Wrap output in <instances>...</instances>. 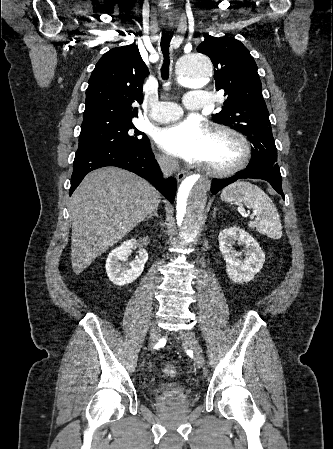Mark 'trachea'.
Listing matches in <instances>:
<instances>
[{"label":"trachea","instance_id":"1","mask_svg":"<svg viewBox=\"0 0 333 449\" xmlns=\"http://www.w3.org/2000/svg\"><path fill=\"white\" fill-rule=\"evenodd\" d=\"M173 37V33L170 31H166L162 33V37H161V51L163 53L164 56V61H163V66L161 68V76L163 79H168L169 77V47H170V42L172 40Z\"/></svg>","mask_w":333,"mask_h":449}]
</instances>
